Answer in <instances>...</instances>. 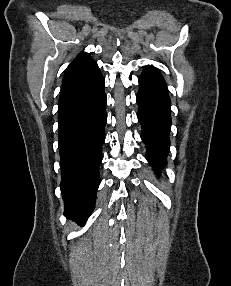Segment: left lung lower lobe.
<instances>
[{"label":"left lung lower lobe","instance_id":"obj_1","mask_svg":"<svg viewBox=\"0 0 231 286\" xmlns=\"http://www.w3.org/2000/svg\"><path fill=\"white\" fill-rule=\"evenodd\" d=\"M138 120L142 140L147 146L146 158L155 170L163 167L169 151L171 102L164 78L159 70L147 66L139 77Z\"/></svg>","mask_w":231,"mask_h":286}]
</instances>
